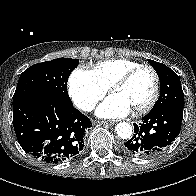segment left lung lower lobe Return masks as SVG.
Returning a JSON list of instances; mask_svg holds the SVG:
<instances>
[{"label":"left lung lower lobe","mask_w":196,"mask_h":196,"mask_svg":"<svg viewBox=\"0 0 196 196\" xmlns=\"http://www.w3.org/2000/svg\"><path fill=\"white\" fill-rule=\"evenodd\" d=\"M182 118L183 111L173 108L150 111L141 123L134 124L135 134L124 143V151L138 157L157 155L175 140Z\"/></svg>","instance_id":"0a47b994"}]
</instances>
